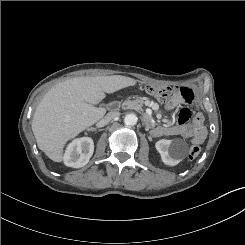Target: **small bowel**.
Instances as JSON below:
<instances>
[{
  "mask_svg": "<svg viewBox=\"0 0 245 245\" xmlns=\"http://www.w3.org/2000/svg\"><path fill=\"white\" fill-rule=\"evenodd\" d=\"M193 102V90L189 87H180L175 90L165 107L168 110H173L182 105H191ZM148 127L155 137L178 135L189 139L194 144L203 143L207 136L203 114L200 112L192 113L188 107H183L180 110L175 124L156 126L153 123Z\"/></svg>",
  "mask_w": 245,
  "mask_h": 245,
  "instance_id": "small-bowel-1",
  "label": "small bowel"
}]
</instances>
